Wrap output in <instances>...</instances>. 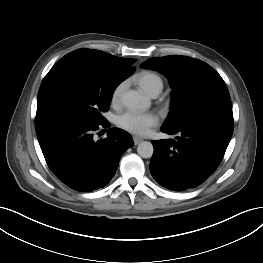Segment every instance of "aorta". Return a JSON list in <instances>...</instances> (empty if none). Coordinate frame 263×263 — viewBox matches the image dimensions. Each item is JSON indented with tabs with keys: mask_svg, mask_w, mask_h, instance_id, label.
Returning a JSON list of instances; mask_svg holds the SVG:
<instances>
[{
	"mask_svg": "<svg viewBox=\"0 0 263 263\" xmlns=\"http://www.w3.org/2000/svg\"><path fill=\"white\" fill-rule=\"evenodd\" d=\"M123 104L130 110H146L149 106V100L143 94L135 90L127 91L122 97ZM154 147L151 142L143 141L137 147V153L142 158H151Z\"/></svg>",
	"mask_w": 263,
	"mask_h": 263,
	"instance_id": "aorta-1",
	"label": "aorta"
}]
</instances>
